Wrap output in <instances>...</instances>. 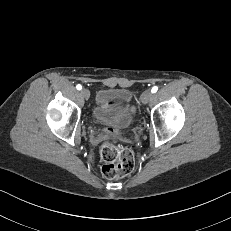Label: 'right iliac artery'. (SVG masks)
I'll use <instances>...</instances> for the list:
<instances>
[{
    "instance_id": "1",
    "label": "right iliac artery",
    "mask_w": 231,
    "mask_h": 231,
    "mask_svg": "<svg viewBox=\"0 0 231 231\" xmlns=\"http://www.w3.org/2000/svg\"><path fill=\"white\" fill-rule=\"evenodd\" d=\"M76 88H77L78 90H81V89H82V86H81L80 84H78V85L76 86Z\"/></svg>"
}]
</instances>
